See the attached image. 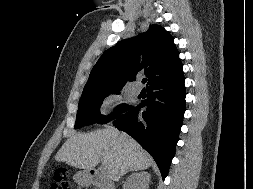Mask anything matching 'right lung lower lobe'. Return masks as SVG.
<instances>
[{
    "label": "right lung lower lobe",
    "mask_w": 253,
    "mask_h": 189,
    "mask_svg": "<svg viewBox=\"0 0 253 189\" xmlns=\"http://www.w3.org/2000/svg\"><path fill=\"white\" fill-rule=\"evenodd\" d=\"M183 73L147 87L148 98L114 121L118 129L136 139L154 158L163 179L175 155L185 112ZM146 107L142 118L140 108Z\"/></svg>",
    "instance_id": "98d812e1"
}]
</instances>
